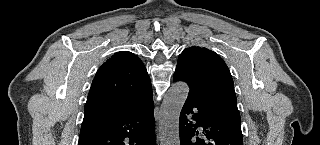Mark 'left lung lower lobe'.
Instances as JSON below:
<instances>
[{
  "instance_id": "obj_1",
  "label": "left lung lower lobe",
  "mask_w": 320,
  "mask_h": 145,
  "mask_svg": "<svg viewBox=\"0 0 320 145\" xmlns=\"http://www.w3.org/2000/svg\"><path fill=\"white\" fill-rule=\"evenodd\" d=\"M173 80L189 86L179 118L180 145H243L241 124L221 116L210 105L208 83L178 66ZM198 134L206 139L196 137Z\"/></svg>"
}]
</instances>
